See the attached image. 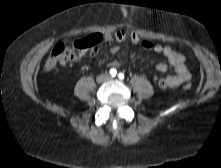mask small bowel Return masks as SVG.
<instances>
[{
	"mask_svg": "<svg viewBox=\"0 0 221 168\" xmlns=\"http://www.w3.org/2000/svg\"><path fill=\"white\" fill-rule=\"evenodd\" d=\"M121 43L122 42L115 43L114 45H110L111 46L110 52L112 55H116L120 51L119 44ZM139 45L144 50L153 51L165 57V59L167 60V63L159 62L156 65V69L160 73H164V74L167 73L170 67L173 68L175 71L174 75H166L164 78L156 79L160 87L162 88L177 87L190 79L191 74L186 66L185 58L182 54L176 52L169 46L153 44L149 40H142ZM96 53H97V50L94 49L91 51L90 55L94 56ZM108 66L113 67V68L119 67V62L117 60H111L110 62H108Z\"/></svg>",
	"mask_w": 221,
	"mask_h": 168,
	"instance_id": "small-bowel-1",
	"label": "small bowel"
}]
</instances>
